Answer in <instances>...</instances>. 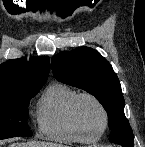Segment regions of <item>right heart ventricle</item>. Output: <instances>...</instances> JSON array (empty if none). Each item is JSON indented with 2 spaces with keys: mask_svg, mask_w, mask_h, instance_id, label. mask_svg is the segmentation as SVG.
Instances as JSON below:
<instances>
[{
  "mask_svg": "<svg viewBox=\"0 0 145 147\" xmlns=\"http://www.w3.org/2000/svg\"><path fill=\"white\" fill-rule=\"evenodd\" d=\"M78 92L68 84L55 82L43 92L36 106L38 130L47 138L61 143L91 142L88 135L75 128L70 114Z\"/></svg>",
  "mask_w": 145,
  "mask_h": 147,
  "instance_id": "e07e8e85",
  "label": "right heart ventricle"
}]
</instances>
